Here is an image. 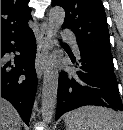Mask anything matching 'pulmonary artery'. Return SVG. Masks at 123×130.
I'll list each match as a JSON object with an SVG mask.
<instances>
[{
    "label": "pulmonary artery",
    "instance_id": "obj_1",
    "mask_svg": "<svg viewBox=\"0 0 123 130\" xmlns=\"http://www.w3.org/2000/svg\"><path fill=\"white\" fill-rule=\"evenodd\" d=\"M61 34L64 38H67L73 45L74 49L77 50V42H76V38L74 34L70 30H67V29L63 30Z\"/></svg>",
    "mask_w": 123,
    "mask_h": 130
}]
</instances>
